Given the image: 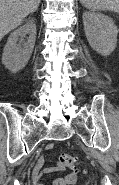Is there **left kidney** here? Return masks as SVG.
I'll use <instances>...</instances> for the list:
<instances>
[{
  "mask_svg": "<svg viewBox=\"0 0 119 185\" xmlns=\"http://www.w3.org/2000/svg\"><path fill=\"white\" fill-rule=\"evenodd\" d=\"M83 23L90 46L103 56L110 55L117 44L118 29L114 21L101 13L84 12Z\"/></svg>",
  "mask_w": 119,
  "mask_h": 185,
  "instance_id": "left-kidney-1",
  "label": "left kidney"
}]
</instances>
